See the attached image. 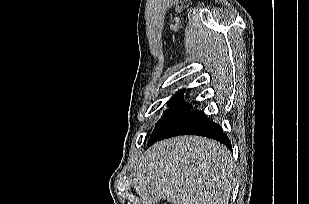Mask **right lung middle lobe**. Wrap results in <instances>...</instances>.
<instances>
[{"label":"right lung middle lobe","mask_w":309,"mask_h":204,"mask_svg":"<svg viewBox=\"0 0 309 204\" xmlns=\"http://www.w3.org/2000/svg\"><path fill=\"white\" fill-rule=\"evenodd\" d=\"M169 109L166 110L162 118L156 124L155 130L148 142V145L154 140L158 139L165 131H167L172 125L179 121L182 117L188 114L190 105L188 104H168Z\"/></svg>","instance_id":"1"}]
</instances>
